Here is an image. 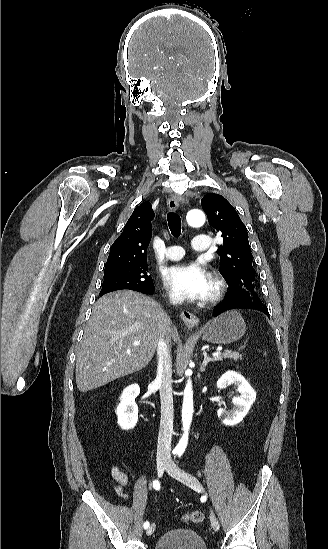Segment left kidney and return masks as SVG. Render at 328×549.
Masks as SVG:
<instances>
[{
	"instance_id": "5707ae66",
	"label": "left kidney",
	"mask_w": 328,
	"mask_h": 549,
	"mask_svg": "<svg viewBox=\"0 0 328 549\" xmlns=\"http://www.w3.org/2000/svg\"><path fill=\"white\" fill-rule=\"evenodd\" d=\"M236 385L239 397H234L232 403L234 409L232 411H227V409H218L217 415L218 419H221L224 425H238L245 415H247L252 403L256 399V393L249 385L248 381L236 373V371H227L224 373L220 379L217 381L218 389H224L225 385Z\"/></svg>"
}]
</instances>
